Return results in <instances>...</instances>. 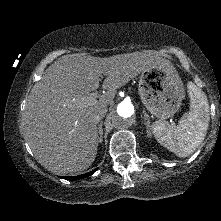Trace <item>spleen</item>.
Wrapping results in <instances>:
<instances>
[{"mask_svg":"<svg viewBox=\"0 0 221 221\" xmlns=\"http://www.w3.org/2000/svg\"><path fill=\"white\" fill-rule=\"evenodd\" d=\"M190 111L185 113L177 126L167 121L153 123L156 140L178 157L191 155L205 139L209 126V103L205 93L193 82H188Z\"/></svg>","mask_w":221,"mask_h":221,"instance_id":"spleen-1","label":"spleen"}]
</instances>
